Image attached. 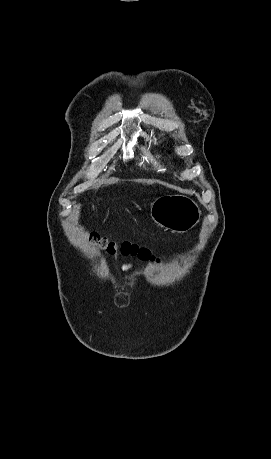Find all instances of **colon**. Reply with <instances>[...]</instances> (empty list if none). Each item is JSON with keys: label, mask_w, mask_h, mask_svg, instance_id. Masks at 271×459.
<instances>
[{"label": "colon", "mask_w": 271, "mask_h": 459, "mask_svg": "<svg viewBox=\"0 0 271 459\" xmlns=\"http://www.w3.org/2000/svg\"><path fill=\"white\" fill-rule=\"evenodd\" d=\"M88 237L90 241L97 243L99 246L105 248L108 252H120L122 255L136 256L141 260H148L151 258V252L147 248L140 247L129 241H124L121 243L108 242L101 238L96 232L89 233Z\"/></svg>", "instance_id": "obj_1"}]
</instances>
